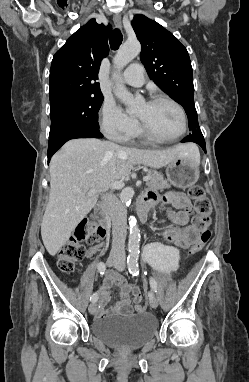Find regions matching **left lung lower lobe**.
<instances>
[{
  "instance_id": "1",
  "label": "left lung lower lobe",
  "mask_w": 249,
  "mask_h": 382,
  "mask_svg": "<svg viewBox=\"0 0 249 382\" xmlns=\"http://www.w3.org/2000/svg\"><path fill=\"white\" fill-rule=\"evenodd\" d=\"M181 142H194L197 143L202 147L204 152L206 153V145H205V140L204 137L201 133H193L184 138Z\"/></svg>"
}]
</instances>
